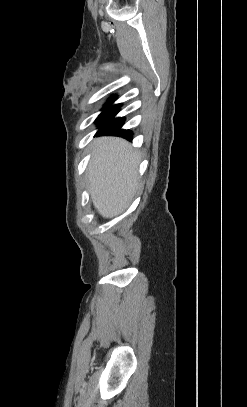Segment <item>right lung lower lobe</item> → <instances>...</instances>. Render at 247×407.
<instances>
[{
  "label": "right lung lower lobe",
  "instance_id": "right-lung-lower-lobe-1",
  "mask_svg": "<svg viewBox=\"0 0 247 407\" xmlns=\"http://www.w3.org/2000/svg\"><path fill=\"white\" fill-rule=\"evenodd\" d=\"M117 111L108 116L100 125L96 136L99 135H119L123 138L131 140L133 134L130 130H123L121 127L124 124V118H115Z\"/></svg>",
  "mask_w": 247,
  "mask_h": 407
}]
</instances>
